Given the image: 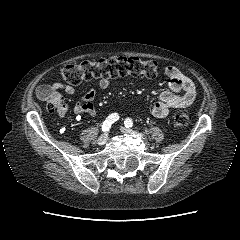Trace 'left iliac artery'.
<instances>
[{
  "mask_svg": "<svg viewBox=\"0 0 240 240\" xmlns=\"http://www.w3.org/2000/svg\"><path fill=\"white\" fill-rule=\"evenodd\" d=\"M124 125L126 128H131L133 126V120L131 118H126L124 121Z\"/></svg>",
  "mask_w": 240,
  "mask_h": 240,
  "instance_id": "1",
  "label": "left iliac artery"
}]
</instances>
